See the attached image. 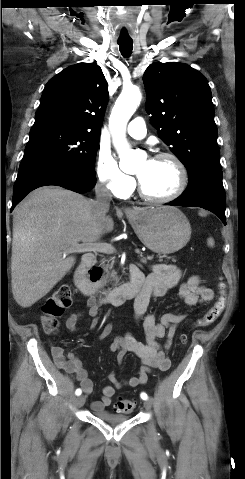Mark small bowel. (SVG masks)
<instances>
[{"mask_svg": "<svg viewBox=\"0 0 245 479\" xmlns=\"http://www.w3.org/2000/svg\"><path fill=\"white\" fill-rule=\"evenodd\" d=\"M135 268L140 271L135 265H132L130 270ZM140 274L144 281V287L134 302V317L137 320H143L146 341L140 342L131 334H125L114 339L110 344V350L116 353L119 365L123 363L128 353L139 357L142 365L136 376L130 377L125 381L118 380L113 372L109 374L108 379L111 384L104 386L101 399L91 404L92 410L96 413H102L111 405L116 390L124 386L134 388L145 385L153 369L167 371L171 367L168 351L172 346L178 325L186 318V315L166 313L158 320L154 314L147 313L148 305L152 298L163 296L168 290L176 286L179 287V297L190 307L208 303L214 298L212 289L204 286L201 283V278L197 275H193L181 283V271L171 264H154L150 267L149 273L144 274L140 271ZM100 308L101 303L96 298H88L86 313L92 317L90 324L92 329L96 328L98 324ZM82 315V312H73L67 317L65 325L70 332L77 331ZM111 331L112 326L110 324L106 325L99 338H105ZM161 340H165L164 343H161ZM51 355L57 368L76 376L85 394L92 392V381L75 352L70 351L65 354L62 347L53 346Z\"/></svg>", "mask_w": 245, "mask_h": 479, "instance_id": "obj_1", "label": "small bowel"}]
</instances>
